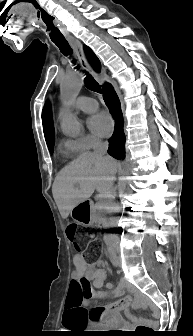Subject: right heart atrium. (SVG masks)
<instances>
[{
  "mask_svg": "<svg viewBox=\"0 0 193 336\" xmlns=\"http://www.w3.org/2000/svg\"><path fill=\"white\" fill-rule=\"evenodd\" d=\"M69 147L76 152H86L99 143V139L93 135H82L76 139L69 140Z\"/></svg>",
  "mask_w": 193,
  "mask_h": 336,
  "instance_id": "obj_1",
  "label": "right heart atrium"
}]
</instances>
